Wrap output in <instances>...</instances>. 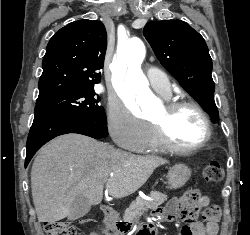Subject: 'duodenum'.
I'll return each instance as SVG.
<instances>
[{
	"instance_id": "410a0bca",
	"label": "duodenum",
	"mask_w": 250,
	"mask_h": 235,
	"mask_svg": "<svg viewBox=\"0 0 250 235\" xmlns=\"http://www.w3.org/2000/svg\"><path fill=\"white\" fill-rule=\"evenodd\" d=\"M101 211L103 214L104 228L102 235H127L130 231L129 227H126L125 222L118 220L111 207L107 205H101ZM155 228L152 225H148L143 230H140L137 235H154Z\"/></svg>"
}]
</instances>
